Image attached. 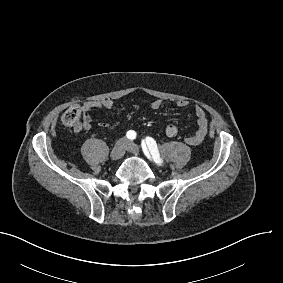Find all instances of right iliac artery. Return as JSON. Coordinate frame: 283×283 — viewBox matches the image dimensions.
<instances>
[{
  "label": "right iliac artery",
  "instance_id": "right-iliac-artery-1",
  "mask_svg": "<svg viewBox=\"0 0 283 283\" xmlns=\"http://www.w3.org/2000/svg\"><path fill=\"white\" fill-rule=\"evenodd\" d=\"M127 138L130 140H134L136 138V132L133 130H130L126 134Z\"/></svg>",
  "mask_w": 283,
  "mask_h": 283
}]
</instances>
